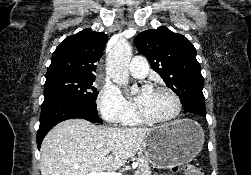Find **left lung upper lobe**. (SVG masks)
<instances>
[{
  "label": "left lung upper lobe",
  "mask_w": 251,
  "mask_h": 175,
  "mask_svg": "<svg viewBox=\"0 0 251 175\" xmlns=\"http://www.w3.org/2000/svg\"><path fill=\"white\" fill-rule=\"evenodd\" d=\"M134 42L153 70L180 97L183 106L205 104L196 49L185 36L158 27L139 33Z\"/></svg>",
  "instance_id": "obj_1"
}]
</instances>
